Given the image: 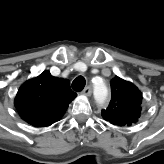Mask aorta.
Listing matches in <instances>:
<instances>
[{
	"instance_id": "1",
	"label": "aorta",
	"mask_w": 164,
	"mask_h": 164,
	"mask_svg": "<svg viewBox=\"0 0 164 164\" xmlns=\"http://www.w3.org/2000/svg\"><path fill=\"white\" fill-rule=\"evenodd\" d=\"M94 98L99 104H104L108 99V89L103 83L94 85Z\"/></svg>"
}]
</instances>
